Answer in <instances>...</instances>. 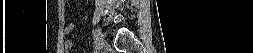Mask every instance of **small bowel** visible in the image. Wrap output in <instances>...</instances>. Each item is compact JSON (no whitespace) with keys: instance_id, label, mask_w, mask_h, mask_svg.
Masks as SVG:
<instances>
[{"instance_id":"c3829d8e","label":"small bowel","mask_w":253,"mask_h":53,"mask_svg":"<svg viewBox=\"0 0 253 53\" xmlns=\"http://www.w3.org/2000/svg\"><path fill=\"white\" fill-rule=\"evenodd\" d=\"M64 30H65L66 33L71 32V31L73 30V25H68V26H66ZM65 47H66L67 49H71V47H72V42H71L70 40H67V41L65 42Z\"/></svg>"}]
</instances>
